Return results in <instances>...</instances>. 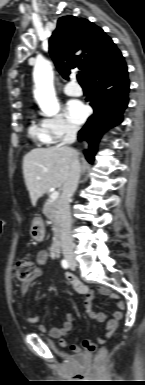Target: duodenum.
I'll list each match as a JSON object with an SVG mask.
<instances>
[{
  "instance_id": "410a0bca",
  "label": "duodenum",
  "mask_w": 145,
  "mask_h": 385,
  "mask_svg": "<svg viewBox=\"0 0 145 385\" xmlns=\"http://www.w3.org/2000/svg\"><path fill=\"white\" fill-rule=\"evenodd\" d=\"M61 241L57 239L53 244V254L54 256H59L61 254Z\"/></svg>"
}]
</instances>
